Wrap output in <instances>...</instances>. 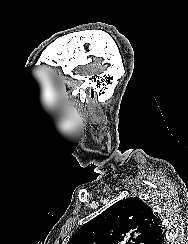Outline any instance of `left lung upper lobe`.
Masks as SVG:
<instances>
[{
	"label": "left lung upper lobe",
	"mask_w": 188,
	"mask_h": 244,
	"mask_svg": "<svg viewBox=\"0 0 188 244\" xmlns=\"http://www.w3.org/2000/svg\"><path fill=\"white\" fill-rule=\"evenodd\" d=\"M158 222L145 202L126 198L82 226L67 244H147Z\"/></svg>",
	"instance_id": "1"
}]
</instances>
